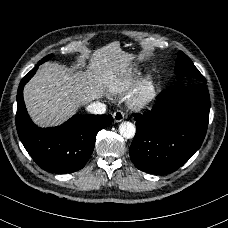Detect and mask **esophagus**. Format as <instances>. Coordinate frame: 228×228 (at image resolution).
I'll use <instances>...</instances> for the list:
<instances>
[{"label":"esophagus","instance_id":"1","mask_svg":"<svg viewBox=\"0 0 228 228\" xmlns=\"http://www.w3.org/2000/svg\"><path fill=\"white\" fill-rule=\"evenodd\" d=\"M113 118L116 123L121 122L124 119V112L122 110L115 111Z\"/></svg>","mask_w":228,"mask_h":228}]
</instances>
